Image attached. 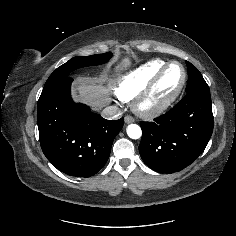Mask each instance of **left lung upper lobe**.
Instances as JSON below:
<instances>
[{"mask_svg":"<svg viewBox=\"0 0 236 236\" xmlns=\"http://www.w3.org/2000/svg\"><path fill=\"white\" fill-rule=\"evenodd\" d=\"M186 64L189 76L188 83L186 86V93L198 89L209 88L199 70L188 61H186Z\"/></svg>","mask_w":236,"mask_h":236,"instance_id":"left-lung-upper-lobe-1","label":"left lung upper lobe"}]
</instances>
